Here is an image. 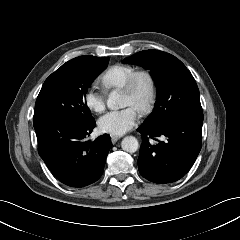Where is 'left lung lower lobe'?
Listing matches in <instances>:
<instances>
[{
	"label": "left lung lower lobe",
	"mask_w": 240,
	"mask_h": 240,
	"mask_svg": "<svg viewBox=\"0 0 240 240\" xmlns=\"http://www.w3.org/2000/svg\"><path fill=\"white\" fill-rule=\"evenodd\" d=\"M202 123L200 119L181 117L159 125L142 124L138 129L143 139L138 158L141 175L158 184L181 179L201 150Z\"/></svg>",
	"instance_id": "0a47b994"
}]
</instances>
